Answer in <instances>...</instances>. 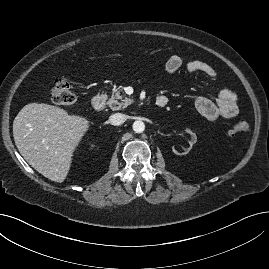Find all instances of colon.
Masks as SVG:
<instances>
[{"mask_svg": "<svg viewBox=\"0 0 269 269\" xmlns=\"http://www.w3.org/2000/svg\"><path fill=\"white\" fill-rule=\"evenodd\" d=\"M51 99L54 104L60 107H71L76 102V94L72 85L65 79H58L51 88ZM250 130V125L245 120H239L228 130V134H246Z\"/></svg>", "mask_w": 269, "mask_h": 269, "instance_id": "5ec220e1", "label": "colon"}]
</instances>
